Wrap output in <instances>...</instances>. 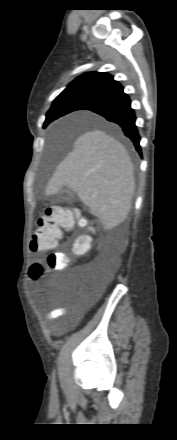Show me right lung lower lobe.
Wrapping results in <instances>:
<instances>
[{
  "label": "right lung lower lobe",
  "instance_id": "right-lung-lower-lobe-1",
  "mask_svg": "<svg viewBox=\"0 0 177 440\" xmlns=\"http://www.w3.org/2000/svg\"><path fill=\"white\" fill-rule=\"evenodd\" d=\"M104 117L107 121L118 124L125 136H127L135 145L136 150L141 155L139 145L140 135L135 125V113L131 108V101L127 94L122 91L109 95L101 100L94 101L84 107Z\"/></svg>",
  "mask_w": 177,
  "mask_h": 440
}]
</instances>
